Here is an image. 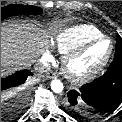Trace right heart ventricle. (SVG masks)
Returning a JSON list of instances; mask_svg holds the SVG:
<instances>
[{
    "label": "right heart ventricle",
    "instance_id": "obj_1",
    "mask_svg": "<svg viewBox=\"0 0 122 122\" xmlns=\"http://www.w3.org/2000/svg\"><path fill=\"white\" fill-rule=\"evenodd\" d=\"M103 36V33L94 25L81 24L61 30L55 35L53 45L63 55L81 44Z\"/></svg>",
    "mask_w": 122,
    "mask_h": 122
}]
</instances>
